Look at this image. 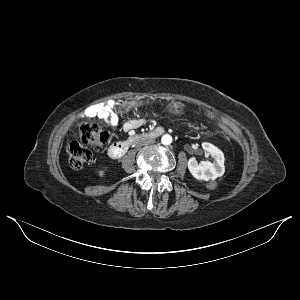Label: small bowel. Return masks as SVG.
Instances as JSON below:
<instances>
[{
  "label": "small bowel",
  "instance_id": "obj_1",
  "mask_svg": "<svg viewBox=\"0 0 300 300\" xmlns=\"http://www.w3.org/2000/svg\"><path fill=\"white\" fill-rule=\"evenodd\" d=\"M106 114H107V110L104 107L100 105H92L84 111L83 116L103 118L106 116ZM141 125H142L141 120H130L126 123V129L138 128Z\"/></svg>",
  "mask_w": 300,
  "mask_h": 300
}]
</instances>
